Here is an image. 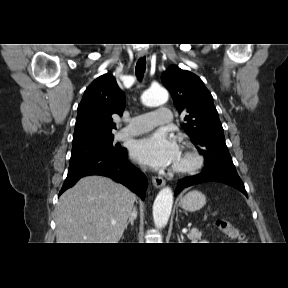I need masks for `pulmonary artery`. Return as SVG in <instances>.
I'll use <instances>...</instances> for the list:
<instances>
[{"instance_id":"e3ab8cb5","label":"pulmonary artery","mask_w":288,"mask_h":288,"mask_svg":"<svg viewBox=\"0 0 288 288\" xmlns=\"http://www.w3.org/2000/svg\"><path fill=\"white\" fill-rule=\"evenodd\" d=\"M172 113L168 108H159L154 112L142 113L134 117L130 124L117 133V138L122 139L138 135L154 129L160 125H168L171 122Z\"/></svg>"}]
</instances>
